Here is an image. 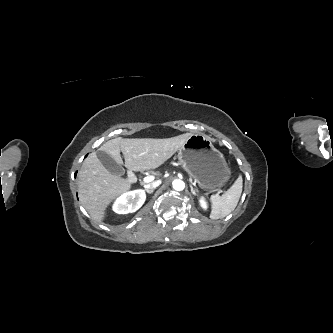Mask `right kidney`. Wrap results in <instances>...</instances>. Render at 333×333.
Masks as SVG:
<instances>
[{"instance_id":"1","label":"right kidney","mask_w":333,"mask_h":333,"mask_svg":"<svg viewBox=\"0 0 333 333\" xmlns=\"http://www.w3.org/2000/svg\"><path fill=\"white\" fill-rule=\"evenodd\" d=\"M144 190L138 189L122 194L115 202L113 209L118 214H128L137 211L145 202Z\"/></svg>"}]
</instances>
